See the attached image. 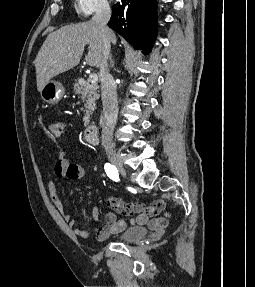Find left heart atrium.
<instances>
[{"label":"left heart atrium","instance_id":"left-heart-atrium-1","mask_svg":"<svg viewBox=\"0 0 255 287\" xmlns=\"http://www.w3.org/2000/svg\"><path fill=\"white\" fill-rule=\"evenodd\" d=\"M81 33H91V32H81ZM78 39H90V38H78ZM84 48H89V47H84Z\"/></svg>","mask_w":255,"mask_h":287}]
</instances>
